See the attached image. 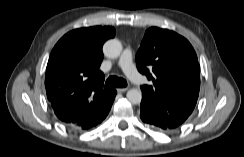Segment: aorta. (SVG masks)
<instances>
[{
  "label": "aorta",
  "mask_w": 244,
  "mask_h": 157,
  "mask_svg": "<svg viewBox=\"0 0 244 157\" xmlns=\"http://www.w3.org/2000/svg\"><path fill=\"white\" fill-rule=\"evenodd\" d=\"M122 44L117 39H111L105 42L103 46V53L108 58H117L122 52ZM127 99L132 104H139L142 99L141 91L138 89H130L126 94Z\"/></svg>",
  "instance_id": "aorta-1"
}]
</instances>
